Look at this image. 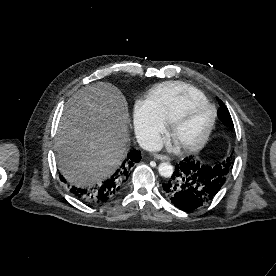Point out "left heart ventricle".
<instances>
[{
    "mask_svg": "<svg viewBox=\"0 0 276 276\" xmlns=\"http://www.w3.org/2000/svg\"><path fill=\"white\" fill-rule=\"evenodd\" d=\"M212 117L211 109L205 104H197L179 124L174 138L179 144L198 139L207 128Z\"/></svg>",
    "mask_w": 276,
    "mask_h": 276,
    "instance_id": "obj_1",
    "label": "left heart ventricle"
}]
</instances>
